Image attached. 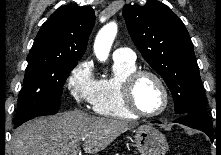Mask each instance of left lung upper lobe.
I'll return each mask as SVG.
<instances>
[{
	"mask_svg": "<svg viewBox=\"0 0 221 155\" xmlns=\"http://www.w3.org/2000/svg\"><path fill=\"white\" fill-rule=\"evenodd\" d=\"M123 15L135 45L172 92L175 112L207 113L193 44L183 22L163 3L125 5Z\"/></svg>",
	"mask_w": 221,
	"mask_h": 155,
	"instance_id": "left-lung-upper-lobe-1",
	"label": "left lung upper lobe"
}]
</instances>
